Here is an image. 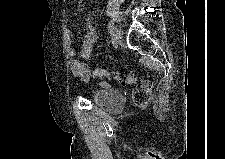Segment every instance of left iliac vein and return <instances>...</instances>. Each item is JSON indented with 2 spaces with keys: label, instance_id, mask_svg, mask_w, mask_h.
Here are the masks:
<instances>
[{
  "label": "left iliac vein",
  "instance_id": "4c4485c4",
  "mask_svg": "<svg viewBox=\"0 0 225 159\" xmlns=\"http://www.w3.org/2000/svg\"><path fill=\"white\" fill-rule=\"evenodd\" d=\"M123 32L120 28H115L113 32V38L116 42L122 39Z\"/></svg>",
  "mask_w": 225,
  "mask_h": 159
}]
</instances>
